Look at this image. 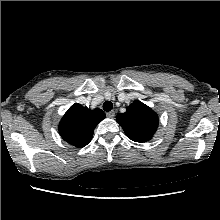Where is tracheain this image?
<instances>
[{
    "label": "trachea",
    "mask_w": 220,
    "mask_h": 220,
    "mask_svg": "<svg viewBox=\"0 0 220 220\" xmlns=\"http://www.w3.org/2000/svg\"><path fill=\"white\" fill-rule=\"evenodd\" d=\"M113 108V104H112V102L111 101H106V102H104V104H103V109L105 110V111H110L111 109Z\"/></svg>",
    "instance_id": "obj_1"
}]
</instances>
